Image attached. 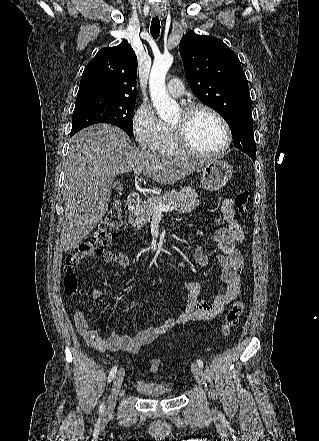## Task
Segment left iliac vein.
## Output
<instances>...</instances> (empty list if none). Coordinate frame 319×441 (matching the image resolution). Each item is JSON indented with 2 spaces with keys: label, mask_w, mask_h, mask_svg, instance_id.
Instances as JSON below:
<instances>
[{
  "label": "left iliac vein",
  "mask_w": 319,
  "mask_h": 441,
  "mask_svg": "<svg viewBox=\"0 0 319 441\" xmlns=\"http://www.w3.org/2000/svg\"><path fill=\"white\" fill-rule=\"evenodd\" d=\"M191 370H192V373H193L196 381L198 383H201L204 379L202 368L198 364L192 363Z\"/></svg>",
  "instance_id": "4c4485c4"
}]
</instances>
